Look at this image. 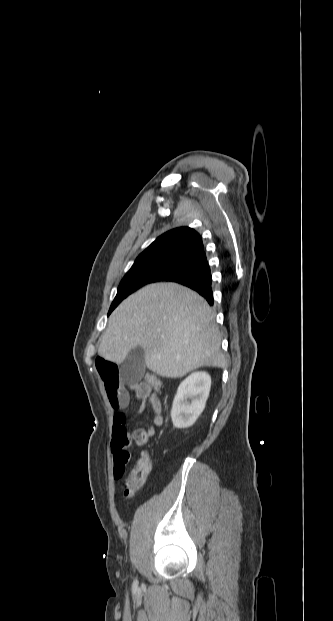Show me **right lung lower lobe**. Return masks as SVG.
Here are the masks:
<instances>
[{"instance_id":"1","label":"right lung lower lobe","mask_w":333,"mask_h":621,"mask_svg":"<svg viewBox=\"0 0 333 621\" xmlns=\"http://www.w3.org/2000/svg\"><path fill=\"white\" fill-rule=\"evenodd\" d=\"M160 281H171L187 286L203 296L210 305L213 304L211 271L204 249L185 259L179 268Z\"/></svg>"}]
</instances>
